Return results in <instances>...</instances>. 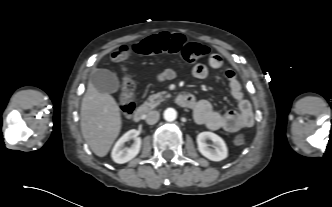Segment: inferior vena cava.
<instances>
[{
    "label": "inferior vena cava",
    "mask_w": 332,
    "mask_h": 207,
    "mask_svg": "<svg viewBox=\"0 0 332 207\" xmlns=\"http://www.w3.org/2000/svg\"><path fill=\"white\" fill-rule=\"evenodd\" d=\"M160 118V114L158 111H150L146 116V122L149 125L155 124Z\"/></svg>",
    "instance_id": "inferior-vena-cava-1"
}]
</instances>
